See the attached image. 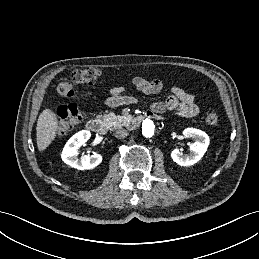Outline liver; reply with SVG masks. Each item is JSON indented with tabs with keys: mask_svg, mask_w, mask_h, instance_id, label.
Listing matches in <instances>:
<instances>
[{
	"mask_svg": "<svg viewBox=\"0 0 259 259\" xmlns=\"http://www.w3.org/2000/svg\"><path fill=\"white\" fill-rule=\"evenodd\" d=\"M57 115L50 109H45L39 115L36 126V141L40 152L44 151L55 139L59 129Z\"/></svg>",
	"mask_w": 259,
	"mask_h": 259,
	"instance_id": "6515ba94",
	"label": "liver"
}]
</instances>
